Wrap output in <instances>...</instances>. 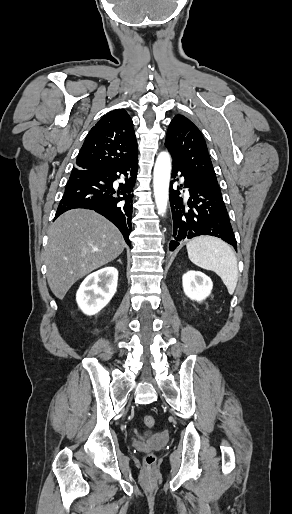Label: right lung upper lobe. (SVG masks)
<instances>
[{"label": "right lung upper lobe", "mask_w": 292, "mask_h": 514, "mask_svg": "<svg viewBox=\"0 0 292 514\" xmlns=\"http://www.w3.org/2000/svg\"><path fill=\"white\" fill-rule=\"evenodd\" d=\"M136 157L137 141L133 122L124 109H115L90 130L73 171L105 170Z\"/></svg>", "instance_id": "obj_1"}]
</instances>
